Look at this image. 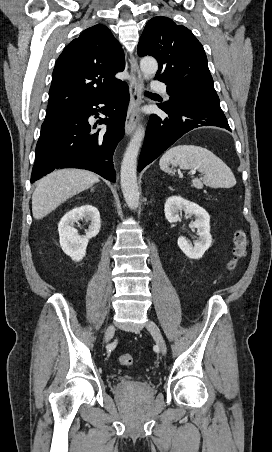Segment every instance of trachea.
<instances>
[{
    "mask_svg": "<svg viewBox=\"0 0 272 452\" xmlns=\"http://www.w3.org/2000/svg\"><path fill=\"white\" fill-rule=\"evenodd\" d=\"M145 94H152L151 92H145Z\"/></svg>",
    "mask_w": 272,
    "mask_h": 452,
    "instance_id": "trachea-1",
    "label": "trachea"
}]
</instances>
